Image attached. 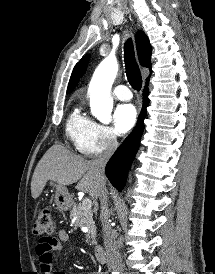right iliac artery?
Segmentation results:
<instances>
[{
  "label": "right iliac artery",
  "instance_id": "right-iliac-artery-1",
  "mask_svg": "<svg viewBox=\"0 0 215 274\" xmlns=\"http://www.w3.org/2000/svg\"><path fill=\"white\" fill-rule=\"evenodd\" d=\"M112 274H119V272H113Z\"/></svg>",
  "mask_w": 215,
  "mask_h": 274
}]
</instances>
